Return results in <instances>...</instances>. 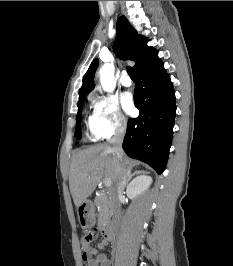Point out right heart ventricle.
<instances>
[{
    "label": "right heart ventricle",
    "instance_id": "right-heart-ventricle-1",
    "mask_svg": "<svg viewBox=\"0 0 233 266\" xmlns=\"http://www.w3.org/2000/svg\"><path fill=\"white\" fill-rule=\"evenodd\" d=\"M92 120H93V116H89V118H88V125H89V128H90V125H91V123H92ZM92 136H93L94 139H98V138L95 137L93 134H92Z\"/></svg>",
    "mask_w": 233,
    "mask_h": 266
}]
</instances>
